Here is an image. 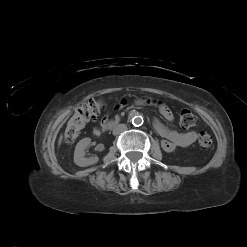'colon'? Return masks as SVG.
I'll list each match as a JSON object with an SVG mask.
<instances>
[{
	"label": "colon",
	"mask_w": 247,
	"mask_h": 247,
	"mask_svg": "<svg viewBox=\"0 0 247 247\" xmlns=\"http://www.w3.org/2000/svg\"><path fill=\"white\" fill-rule=\"evenodd\" d=\"M102 100L90 99L79 106L73 116L68 121L64 132V139L67 143H73L80 135L85 125L94 120L100 112L105 108ZM180 125L184 128H191L197 125V116L188 109H183L179 116ZM213 138L209 133L201 132L198 137V145L203 150L212 147Z\"/></svg>",
	"instance_id": "5ec220e1"
}]
</instances>
